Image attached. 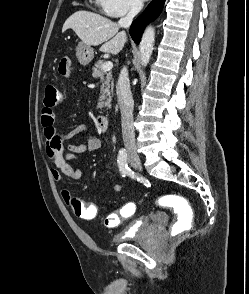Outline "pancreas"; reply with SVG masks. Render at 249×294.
I'll return each mask as SVG.
<instances>
[{
	"instance_id": "1",
	"label": "pancreas",
	"mask_w": 249,
	"mask_h": 294,
	"mask_svg": "<svg viewBox=\"0 0 249 294\" xmlns=\"http://www.w3.org/2000/svg\"><path fill=\"white\" fill-rule=\"evenodd\" d=\"M103 61L99 60L95 67H93L92 76L93 78H100L101 80V95L97 104V109H103L104 107L111 106V95L113 94L114 81L110 71L104 72L102 70Z\"/></svg>"
}]
</instances>
